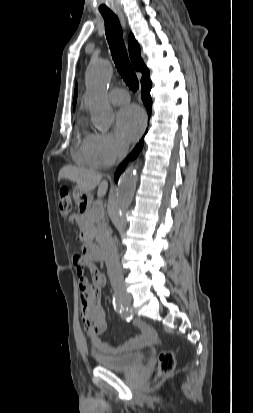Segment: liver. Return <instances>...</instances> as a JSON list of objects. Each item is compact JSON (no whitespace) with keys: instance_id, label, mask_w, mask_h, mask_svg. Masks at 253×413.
Returning a JSON list of instances; mask_svg holds the SVG:
<instances>
[{"instance_id":"liver-1","label":"liver","mask_w":253,"mask_h":413,"mask_svg":"<svg viewBox=\"0 0 253 413\" xmlns=\"http://www.w3.org/2000/svg\"><path fill=\"white\" fill-rule=\"evenodd\" d=\"M69 179L75 182L77 186L85 191L91 192L98 186V197H103L108 189V182L102 180V175L86 170L84 168H79L76 166H64L58 175V180Z\"/></svg>"}]
</instances>
